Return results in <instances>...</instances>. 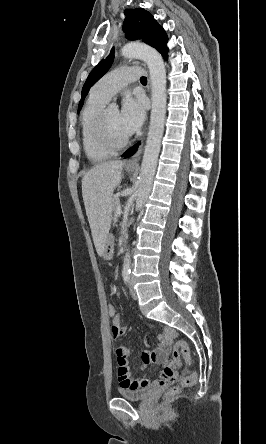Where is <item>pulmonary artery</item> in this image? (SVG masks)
<instances>
[{
    "label": "pulmonary artery",
    "mask_w": 266,
    "mask_h": 444,
    "mask_svg": "<svg viewBox=\"0 0 266 444\" xmlns=\"http://www.w3.org/2000/svg\"><path fill=\"white\" fill-rule=\"evenodd\" d=\"M143 74L144 69L139 66L118 67L103 76L93 87L92 92L108 101L114 94Z\"/></svg>",
    "instance_id": "obj_1"
}]
</instances>
